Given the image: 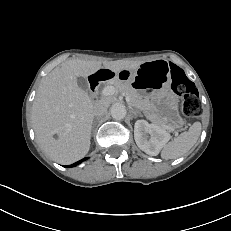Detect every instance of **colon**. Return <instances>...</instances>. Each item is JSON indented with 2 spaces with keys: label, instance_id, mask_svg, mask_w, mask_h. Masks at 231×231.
<instances>
[{
  "label": "colon",
  "instance_id": "colon-1",
  "mask_svg": "<svg viewBox=\"0 0 231 231\" xmlns=\"http://www.w3.org/2000/svg\"><path fill=\"white\" fill-rule=\"evenodd\" d=\"M172 88L184 98L182 110L186 116L197 117L202 113L197 88L195 84L185 76L181 69H174Z\"/></svg>",
  "mask_w": 231,
  "mask_h": 231
}]
</instances>
